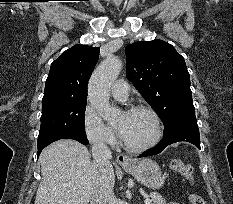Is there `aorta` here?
<instances>
[{"instance_id":"1","label":"aorta","mask_w":233,"mask_h":204,"mask_svg":"<svg viewBox=\"0 0 233 204\" xmlns=\"http://www.w3.org/2000/svg\"><path fill=\"white\" fill-rule=\"evenodd\" d=\"M122 69L117 56H108L93 72L88 87V96L92 106L108 122L115 121L120 110L110 104V89Z\"/></svg>"}]
</instances>
